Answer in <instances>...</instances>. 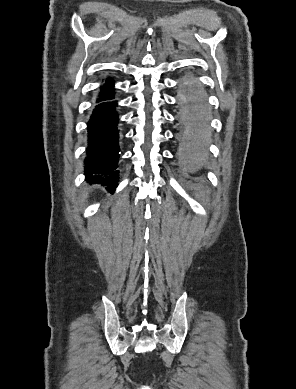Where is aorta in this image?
I'll return each instance as SVG.
<instances>
[{"mask_svg":"<svg viewBox=\"0 0 296 389\" xmlns=\"http://www.w3.org/2000/svg\"><path fill=\"white\" fill-rule=\"evenodd\" d=\"M185 90L182 92L180 107L182 116L183 139H180L176 149L179 163L182 167H199L202 162H209V95L204 90L202 81H193L192 74L183 77Z\"/></svg>","mask_w":296,"mask_h":389,"instance_id":"762f6f07","label":"aorta"}]
</instances>
